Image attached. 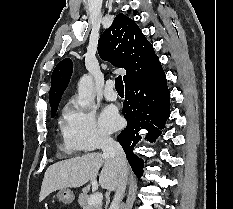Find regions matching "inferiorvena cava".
I'll return each mask as SVG.
<instances>
[{
	"mask_svg": "<svg viewBox=\"0 0 233 209\" xmlns=\"http://www.w3.org/2000/svg\"><path fill=\"white\" fill-rule=\"evenodd\" d=\"M100 147L103 151V156L113 159L118 168L119 183L109 209H119L127 185L128 168L126 155L121 145L108 136L102 137Z\"/></svg>",
	"mask_w": 233,
	"mask_h": 209,
	"instance_id": "1",
	"label": "inferior vena cava"
}]
</instances>
